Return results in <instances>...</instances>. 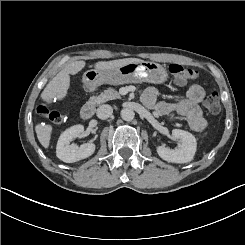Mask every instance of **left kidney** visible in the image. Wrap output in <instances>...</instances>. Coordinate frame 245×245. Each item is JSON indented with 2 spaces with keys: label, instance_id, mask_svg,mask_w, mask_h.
Returning a JSON list of instances; mask_svg holds the SVG:
<instances>
[{
  "label": "left kidney",
  "instance_id": "left-kidney-1",
  "mask_svg": "<svg viewBox=\"0 0 245 245\" xmlns=\"http://www.w3.org/2000/svg\"><path fill=\"white\" fill-rule=\"evenodd\" d=\"M172 137L180 140L177 149H170L165 146H158L157 153L165 161L173 163H187L193 160L196 152L197 142L195 137L188 131L173 129Z\"/></svg>",
  "mask_w": 245,
  "mask_h": 245
}]
</instances>
